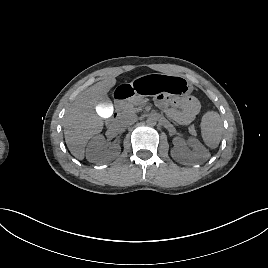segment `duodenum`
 Here are the masks:
<instances>
[{
	"label": "duodenum",
	"instance_id": "duodenum-1",
	"mask_svg": "<svg viewBox=\"0 0 268 268\" xmlns=\"http://www.w3.org/2000/svg\"><path fill=\"white\" fill-rule=\"evenodd\" d=\"M130 96V91L121 89L118 90L114 95V101L117 106H119L126 98ZM118 118V114L114 113V115L110 118V122L114 123Z\"/></svg>",
	"mask_w": 268,
	"mask_h": 268
}]
</instances>
